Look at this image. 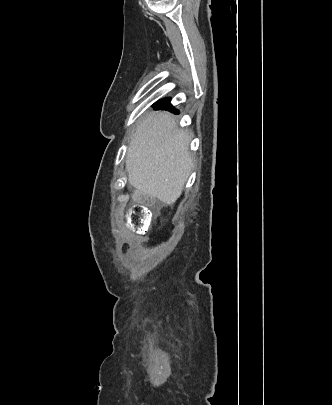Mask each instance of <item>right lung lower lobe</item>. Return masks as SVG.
<instances>
[{
  "label": "right lung lower lobe",
  "mask_w": 332,
  "mask_h": 405,
  "mask_svg": "<svg viewBox=\"0 0 332 405\" xmlns=\"http://www.w3.org/2000/svg\"><path fill=\"white\" fill-rule=\"evenodd\" d=\"M154 109H164V110H169L172 112H177L174 110V107L171 105L170 103V99L169 98H165L163 100H159L158 102H156L153 105Z\"/></svg>",
  "instance_id": "obj_1"
}]
</instances>
